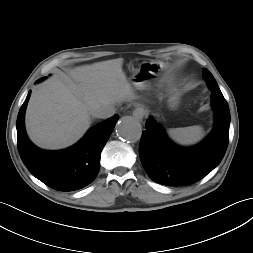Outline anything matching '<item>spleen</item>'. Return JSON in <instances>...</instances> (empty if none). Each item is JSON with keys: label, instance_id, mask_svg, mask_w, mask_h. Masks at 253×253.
<instances>
[{"label": "spleen", "instance_id": "obj_1", "mask_svg": "<svg viewBox=\"0 0 253 253\" xmlns=\"http://www.w3.org/2000/svg\"><path fill=\"white\" fill-rule=\"evenodd\" d=\"M168 134L172 140L181 145H192L199 142L203 136L204 131L201 126H189L184 128H171Z\"/></svg>", "mask_w": 253, "mask_h": 253}]
</instances>
